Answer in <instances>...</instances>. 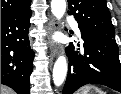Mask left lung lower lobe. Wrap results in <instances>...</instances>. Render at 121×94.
I'll use <instances>...</instances> for the list:
<instances>
[{
    "mask_svg": "<svg viewBox=\"0 0 121 94\" xmlns=\"http://www.w3.org/2000/svg\"><path fill=\"white\" fill-rule=\"evenodd\" d=\"M83 49L66 48L68 75L63 94H73L86 84H101L121 92V64L114 38L81 31ZM80 47V44H77Z\"/></svg>",
    "mask_w": 121,
    "mask_h": 94,
    "instance_id": "0a47b994",
    "label": "left lung lower lobe"
}]
</instances>
